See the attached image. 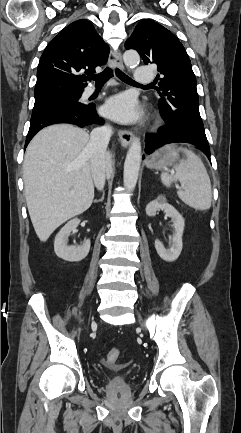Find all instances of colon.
<instances>
[{"mask_svg": "<svg viewBox=\"0 0 241 433\" xmlns=\"http://www.w3.org/2000/svg\"><path fill=\"white\" fill-rule=\"evenodd\" d=\"M120 355V351L117 348L111 349L105 359L106 365H113Z\"/></svg>", "mask_w": 241, "mask_h": 433, "instance_id": "1", "label": "colon"}]
</instances>
